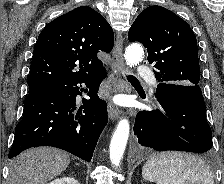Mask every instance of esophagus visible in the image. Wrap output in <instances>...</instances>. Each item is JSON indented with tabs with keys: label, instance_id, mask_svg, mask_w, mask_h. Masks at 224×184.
I'll return each instance as SVG.
<instances>
[{
	"label": "esophagus",
	"instance_id": "1",
	"mask_svg": "<svg viewBox=\"0 0 224 184\" xmlns=\"http://www.w3.org/2000/svg\"><path fill=\"white\" fill-rule=\"evenodd\" d=\"M124 69L123 63V37L119 33L117 35L115 46L113 50L112 64H111V77L113 80V92H120L124 89L122 80V70ZM121 110L112 102L108 103V116L111 120H116L120 117Z\"/></svg>",
	"mask_w": 224,
	"mask_h": 184
}]
</instances>
